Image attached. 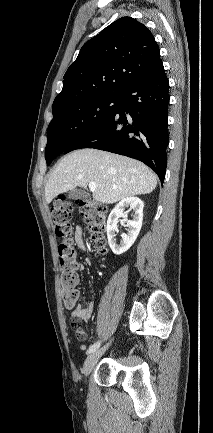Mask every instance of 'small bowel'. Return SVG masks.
<instances>
[{
    "label": "small bowel",
    "instance_id": "obj_1",
    "mask_svg": "<svg viewBox=\"0 0 213 433\" xmlns=\"http://www.w3.org/2000/svg\"><path fill=\"white\" fill-rule=\"evenodd\" d=\"M73 240L76 243L77 247L82 251H87V245L83 235V229L80 226H77L73 233ZM92 260L90 258H86L84 262L75 261V270L81 271L84 269V265H91ZM77 274V273H76ZM94 310V303L89 302L85 306H77L71 312V316L78 320H82L84 322H88L91 319L92 313ZM86 337V332L83 329L82 339ZM80 350L84 351L87 349L86 344H81L79 346Z\"/></svg>",
    "mask_w": 213,
    "mask_h": 433
}]
</instances>
